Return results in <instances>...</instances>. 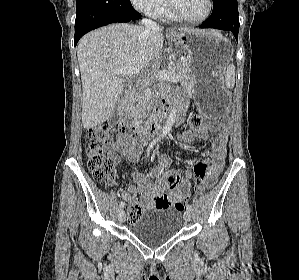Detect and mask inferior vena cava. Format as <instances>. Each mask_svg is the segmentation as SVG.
I'll list each match as a JSON object with an SVG mask.
<instances>
[{
    "mask_svg": "<svg viewBox=\"0 0 299 280\" xmlns=\"http://www.w3.org/2000/svg\"><path fill=\"white\" fill-rule=\"evenodd\" d=\"M141 24L147 32L156 29L158 27L157 24L150 19H142ZM137 94L139 96V100L141 101V103H143V106L147 105L146 91H144L143 93V91L139 89L137 91Z\"/></svg>",
    "mask_w": 299,
    "mask_h": 280,
    "instance_id": "obj_1",
    "label": "inferior vena cava"
}]
</instances>
